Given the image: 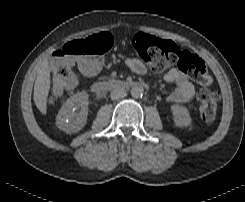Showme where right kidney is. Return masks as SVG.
<instances>
[{
	"mask_svg": "<svg viewBox=\"0 0 245 202\" xmlns=\"http://www.w3.org/2000/svg\"><path fill=\"white\" fill-rule=\"evenodd\" d=\"M89 95L79 92L66 100L56 117V125L66 133H77L87 122Z\"/></svg>",
	"mask_w": 245,
	"mask_h": 202,
	"instance_id": "obj_1",
	"label": "right kidney"
}]
</instances>
